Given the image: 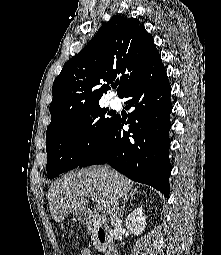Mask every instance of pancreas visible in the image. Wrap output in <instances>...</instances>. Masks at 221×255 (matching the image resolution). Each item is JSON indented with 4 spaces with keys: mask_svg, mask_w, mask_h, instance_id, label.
I'll return each mask as SVG.
<instances>
[{
    "mask_svg": "<svg viewBox=\"0 0 221 255\" xmlns=\"http://www.w3.org/2000/svg\"><path fill=\"white\" fill-rule=\"evenodd\" d=\"M93 225L94 226H98L99 225V223L98 222H93ZM92 226V225H91ZM92 238L94 239V236L92 235ZM100 248V247H99Z\"/></svg>",
    "mask_w": 221,
    "mask_h": 255,
    "instance_id": "obj_1",
    "label": "pancreas"
}]
</instances>
